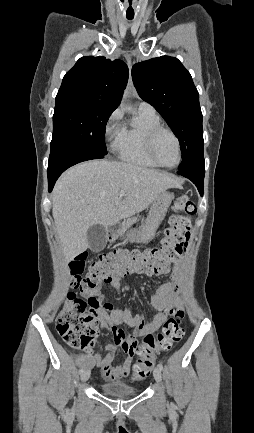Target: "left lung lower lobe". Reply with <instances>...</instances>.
<instances>
[{"label": "left lung lower lobe", "mask_w": 254, "mask_h": 433, "mask_svg": "<svg viewBox=\"0 0 254 433\" xmlns=\"http://www.w3.org/2000/svg\"><path fill=\"white\" fill-rule=\"evenodd\" d=\"M178 174L190 179L199 190L201 196H203V183H204V174L205 172H200L197 170H180L177 172Z\"/></svg>", "instance_id": "0a47b994"}]
</instances>
